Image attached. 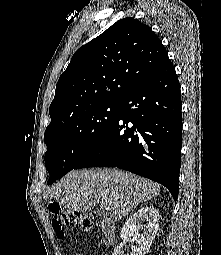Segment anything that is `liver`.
Here are the masks:
<instances>
[{
	"instance_id": "liver-1",
	"label": "liver",
	"mask_w": 221,
	"mask_h": 255,
	"mask_svg": "<svg viewBox=\"0 0 221 255\" xmlns=\"http://www.w3.org/2000/svg\"><path fill=\"white\" fill-rule=\"evenodd\" d=\"M160 186L146 178L118 169L71 171L45 192L69 210L88 212L97 203L108 216L121 220L140 203L156 197Z\"/></svg>"
}]
</instances>
